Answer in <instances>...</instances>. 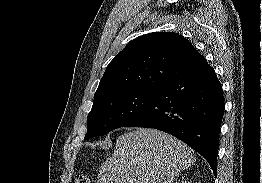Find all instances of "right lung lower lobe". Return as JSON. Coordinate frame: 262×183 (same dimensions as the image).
I'll use <instances>...</instances> for the list:
<instances>
[{
    "label": "right lung lower lobe",
    "instance_id": "98d812e1",
    "mask_svg": "<svg viewBox=\"0 0 262 183\" xmlns=\"http://www.w3.org/2000/svg\"><path fill=\"white\" fill-rule=\"evenodd\" d=\"M224 108L221 83L207 63L163 84L124 127L155 128L177 137L202 155L216 174Z\"/></svg>",
    "mask_w": 262,
    "mask_h": 183
}]
</instances>
